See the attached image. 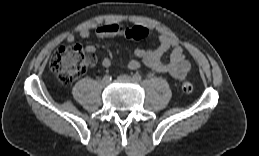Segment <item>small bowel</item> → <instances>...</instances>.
Listing matches in <instances>:
<instances>
[{"mask_svg":"<svg viewBox=\"0 0 259 156\" xmlns=\"http://www.w3.org/2000/svg\"><path fill=\"white\" fill-rule=\"evenodd\" d=\"M125 30L118 24L109 23L98 27L96 29V35L99 38H122ZM79 37L81 39H88L90 37V31L88 29H82L79 32ZM67 41L74 42L75 35H69ZM85 50L91 54L90 61L94 62L96 59V47L94 45H87ZM167 52H170V56L166 62L163 60V57ZM134 55L140 61H129L127 67L130 70H137L143 65L159 73H168L177 80H183L191 68L189 61L185 57L183 48L179 45L177 39L164 34L159 36L158 45L154 49H136ZM102 64L104 67H109L111 60L108 57H104Z\"/></svg>","mask_w":259,"mask_h":156,"instance_id":"c3829d8e","label":"small bowel"}]
</instances>
